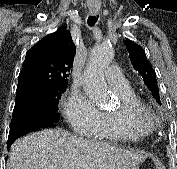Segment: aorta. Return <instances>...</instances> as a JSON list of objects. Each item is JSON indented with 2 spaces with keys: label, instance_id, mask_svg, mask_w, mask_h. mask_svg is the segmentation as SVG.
<instances>
[{
  "label": "aorta",
  "instance_id": "obj_1",
  "mask_svg": "<svg viewBox=\"0 0 177 169\" xmlns=\"http://www.w3.org/2000/svg\"><path fill=\"white\" fill-rule=\"evenodd\" d=\"M114 58V50L106 44L95 46L90 54L84 73V92L100 106L110 104V96L104 79V71Z\"/></svg>",
  "mask_w": 177,
  "mask_h": 169
}]
</instances>
